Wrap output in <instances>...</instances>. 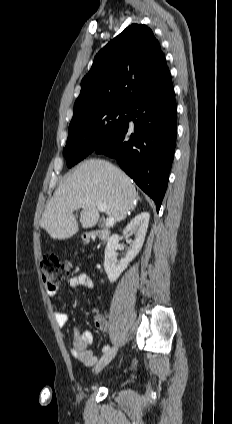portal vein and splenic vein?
Listing matches in <instances>:
<instances>
[{
    "mask_svg": "<svg viewBox=\"0 0 232 424\" xmlns=\"http://www.w3.org/2000/svg\"><path fill=\"white\" fill-rule=\"evenodd\" d=\"M97 208H98V210H99V211H101V212H105V211H106V209H107V205H106V204H104V203H98ZM113 224H114V218H112V217H108V218L106 219V221H105V225H106V227H110V226H112Z\"/></svg>",
    "mask_w": 232,
    "mask_h": 424,
    "instance_id": "1",
    "label": "portal vein and splenic vein"
}]
</instances>
